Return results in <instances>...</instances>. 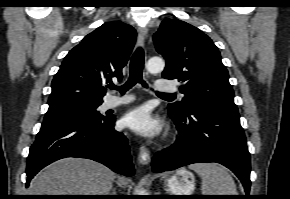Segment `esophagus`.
<instances>
[{
	"mask_svg": "<svg viewBox=\"0 0 290 199\" xmlns=\"http://www.w3.org/2000/svg\"><path fill=\"white\" fill-rule=\"evenodd\" d=\"M138 35H139V40H140L141 45L144 46L147 40L146 28L142 26L138 27ZM138 162L142 165H147L150 162V152L143 145L139 149Z\"/></svg>",
	"mask_w": 290,
	"mask_h": 199,
	"instance_id": "1",
	"label": "esophagus"
}]
</instances>
